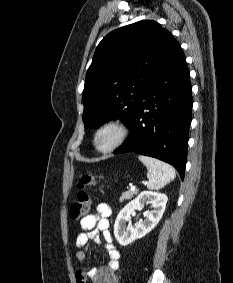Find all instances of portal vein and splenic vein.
I'll return each instance as SVG.
<instances>
[{
  "mask_svg": "<svg viewBox=\"0 0 233 283\" xmlns=\"http://www.w3.org/2000/svg\"><path fill=\"white\" fill-rule=\"evenodd\" d=\"M136 187L135 186H131V191H135Z\"/></svg>",
  "mask_w": 233,
  "mask_h": 283,
  "instance_id": "obj_1",
  "label": "portal vein and splenic vein"
}]
</instances>
